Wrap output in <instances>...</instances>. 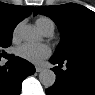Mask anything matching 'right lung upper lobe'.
I'll return each mask as SVG.
<instances>
[{"instance_id":"right-lung-upper-lobe-1","label":"right lung upper lobe","mask_w":95,"mask_h":95,"mask_svg":"<svg viewBox=\"0 0 95 95\" xmlns=\"http://www.w3.org/2000/svg\"><path fill=\"white\" fill-rule=\"evenodd\" d=\"M33 7L0 3V28L14 29L25 17L32 13Z\"/></svg>"}]
</instances>
